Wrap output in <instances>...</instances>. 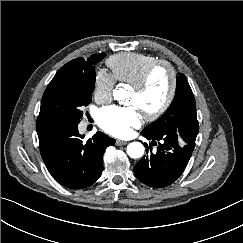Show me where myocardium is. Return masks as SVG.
<instances>
[{
  "instance_id": "1",
  "label": "myocardium",
  "mask_w": 243,
  "mask_h": 243,
  "mask_svg": "<svg viewBox=\"0 0 243 243\" xmlns=\"http://www.w3.org/2000/svg\"><path fill=\"white\" fill-rule=\"evenodd\" d=\"M159 66H164L168 70L169 86L165 96L161 99L160 102H158L155 106L143 111L146 117H152L154 115H157L158 113L162 112L171 103L175 95L176 86H177L176 70L174 69L173 65L169 61L163 59H157L154 62L147 65L139 74V76L130 83L133 89H135L136 91H141L145 87L152 71Z\"/></svg>"
}]
</instances>
